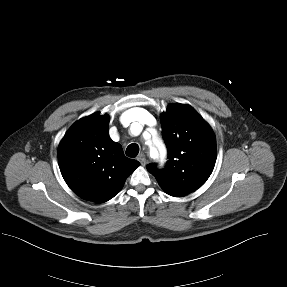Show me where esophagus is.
<instances>
[{"instance_id": "obj_1", "label": "esophagus", "mask_w": 287, "mask_h": 287, "mask_svg": "<svg viewBox=\"0 0 287 287\" xmlns=\"http://www.w3.org/2000/svg\"><path fill=\"white\" fill-rule=\"evenodd\" d=\"M138 160H139V162L141 163L142 166H145L146 163H147L144 154H140L139 157H138Z\"/></svg>"}]
</instances>
